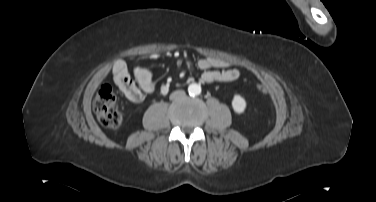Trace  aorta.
Instances as JSON below:
<instances>
[{"mask_svg": "<svg viewBox=\"0 0 376 202\" xmlns=\"http://www.w3.org/2000/svg\"><path fill=\"white\" fill-rule=\"evenodd\" d=\"M188 93L191 96L199 95L201 93V86L199 84H196V83L190 84L189 87H188Z\"/></svg>", "mask_w": 376, "mask_h": 202, "instance_id": "obj_1", "label": "aorta"}]
</instances>
